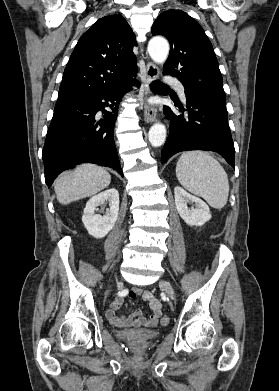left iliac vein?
I'll return each instance as SVG.
<instances>
[{
	"instance_id": "obj_1",
	"label": "left iliac vein",
	"mask_w": 279,
	"mask_h": 391,
	"mask_svg": "<svg viewBox=\"0 0 279 391\" xmlns=\"http://www.w3.org/2000/svg\"><path fill=\"white\" fill-rule=\"evenodd\" d=\"M159 284H160V286L166 291V293H167L170 297H173V296H174L173 287H172V285H171L168 281L162 280V281H160Z\"/></svg>"
}]
</instances>
